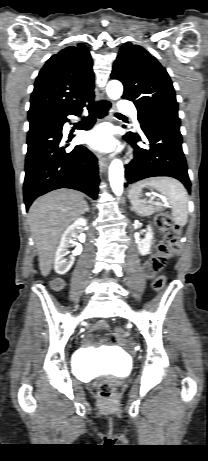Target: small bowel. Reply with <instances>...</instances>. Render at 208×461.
<instances>
[{
  "instance_id": "obj_1",
  "label": "small bowel",
  "mask_w": 208,
  "mask_h": 461,
  "mask_svg": "<svg viewBox=\"0 0 208 461\" xmlns=\"http://www.w3.org/2000/svg\"><path fill=\"white\" fill-rule=\"evenodd\" d=\"M145 269H146V272H147L148 275H153L154 272H155V270H152V269L149 268L148 262L146 263ZM55 284L57 286H61L62 285V280H60V279L55 280ZM107 328H108V325H107V323L105 321H100L95 326V330H106ZM105 341L107 343H110L109 348L111 350H114L116 348V345H117V342H118L117 334L115 332H112L110 335H108L105 338Z\"/></svg>"
}]
</instances>
